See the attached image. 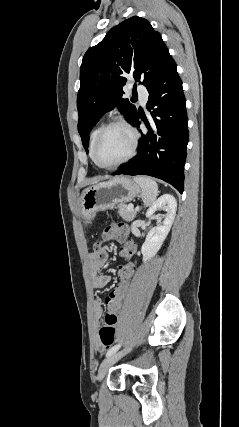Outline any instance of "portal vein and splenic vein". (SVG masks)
I'll return each mask as SVG.
<instances>
[{"instance_id":"18ae733b","label":"portal vein and splenic vein","mask_w":239,"mask_h":427,"mask_svg":"<svg viewBox=\"0 0 239 427\" xmlns=\"http://www.w3.org/2000/svg\"><path fill=\"white\" fill-rule=\"evenodd\" d=\"M128 209L131 211V210H133L134 209V206H133V204H130L129 206H128Z\"/></svg>"}]
</instances>
